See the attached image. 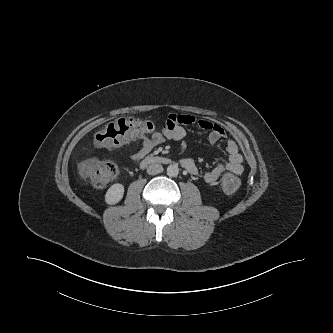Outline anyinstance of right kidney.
Here are the masks:
<instances>
[{"instance_id":"ca27d5eb","label":"right kidney","mask_w":333,"mask_h":333,"mask_svg":"<svg viewBox=\"0 0 333 333\" xmlns=\"http://www.w3.org/2000/svg\"><path fill=\"white\" fill-rule=\"evenodd\" d=\"M124 194V186L120 183L113 184L106 192L105 201L108 204L118 203Z\"/></svg>"}]
</instances>
